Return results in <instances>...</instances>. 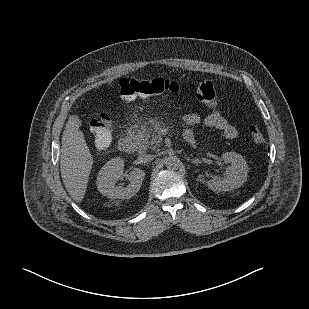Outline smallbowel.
Wrapping results in <instances>:
<instances>
[{
    "instance_id": "1",
    "label": "small bowel",
    "mask_w": 309,
    "mask_h": 309,
    "mask_svg": "<svg viewBox=\"0 0 309 309\" xmlns=\"http://www.w3.org/2000/svg\"><path fill=\"white\" fill-rule=\"evenodd\" d=\"M186 129L184 131V139L186 137L192 138L194 142V131L193 128L200 122V118L195 113H189L184 117ZM203 124L209 128H215L219 130L222 136L226 139H235L238 135L236 127L230 124L222 115L219 113L209 114L204 120Z\"/></svg>"
}]
</instances>
